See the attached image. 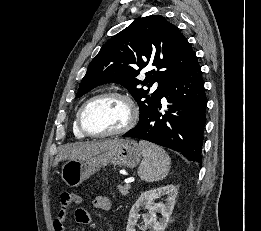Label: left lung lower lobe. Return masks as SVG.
I'll use <instances>...</instances> for the list:
<instances>
[{"mask_svg": "<svg viewBox=\"0 0 261 231\" xmlns=\"http://www.w3.org/2000/svg\"><path fill=\"white\" fill-rule=\"evenodd\" d=\"M162 97L168 102L166 114L160 113V100L123 137L170 148L201 165L207 98L197 58L185 72L167 83Z\"/></svg>", "mask_w": 261, "mask_h": 231, "instance_id": "left-lung-lower-lobe-1", "label": "left lung lower lobe"}]
</instances>
